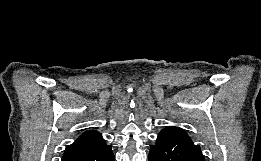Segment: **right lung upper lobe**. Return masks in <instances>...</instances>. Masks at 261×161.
Here are the masks:
<instances>
[{
  "instance_id": "1",
  "label": "right lung upper lobe",
  "mask_w": 261,
  "mask_h": 161,
  "mask_svg": "<svg viewBox=\"0 0 261 161\" xmlns=\"http://www.w3.org/2000/svg\"><path fill=\"white\" fill-rule=\"evenodd\" d=\"M104 144L105 141L101 134L96 131H89L81 135L72 145L67 146L65 153L90 150Z\"/></svg>"
}]
</instances>
